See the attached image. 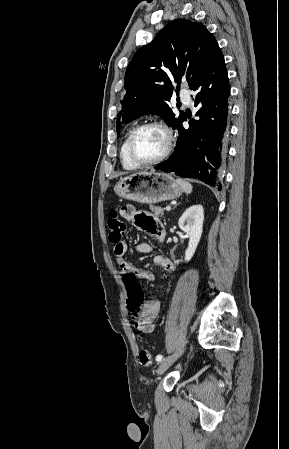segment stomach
Wrapping results in <instances>:
<instances>
[{"label": "stomach", "mask_w": 289, "mask_h": 449, "mask_svg": "<svg viewBox=\"0 0 289 449\" xmlns=\"http://www.w3.org/2000/svg\"><path fill=\"white\" fill-rule=\"evenodd\" d=\"M114 191L121 198L153 204L178 198L183 188L170 174L144 171L120 178Z\"/></svg>", "instance_id": "0dacf381"}]
</instances>
